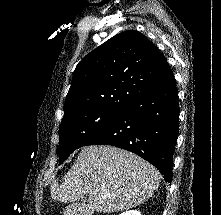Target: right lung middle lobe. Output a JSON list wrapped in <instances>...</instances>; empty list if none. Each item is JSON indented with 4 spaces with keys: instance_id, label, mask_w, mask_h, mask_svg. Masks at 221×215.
<instances>
[{
    "instance_id": "obj_1",
    "label": "right lung middle lobe",
    "mask_w": 221,
    "mask_h": 215,
    "mask_svg": "<svg viewBox=\"0 0 221 215\" xmlns=\"http://www.w3.org/2000/svg\"><path fill=\"white\" fill-rule=\"evenodd\" d=\"M119 114L106 109H88L64 116L59 127V164L88 139L114 122Z\"/></svg>"
}]
</instances>
